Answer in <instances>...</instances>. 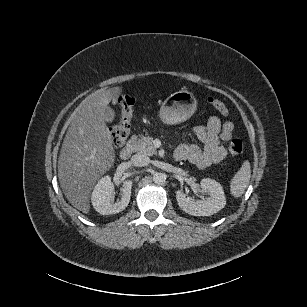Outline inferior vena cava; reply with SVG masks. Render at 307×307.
I'll use <instances>...</instances> for the list:
<instances>
[{
  "label": "inferior vena cava",
  "mask_w": 307,
  "mask_h": 307,
  "mask_svg": "<svg viewBox=\"0 0 307 307\" xmlns=\"http://www.w3.org/2000/svg\"><path fill=\"white\" fill-rule=\"evenodd\" d=\"M132 163L135 166H146L149 163V158L141 153L132 156Z\"/></svg>",
  "instance_id": "602c4592"
}]
</instances>
